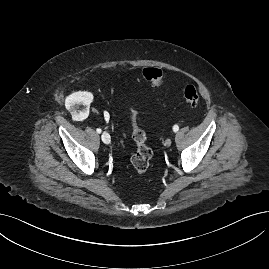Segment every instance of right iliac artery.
Returning a JSON list of instances; mask_svg holds the SVG:
<instances>
[{"label":"right iliac artery","instance_id":"right-iliac-artery-1","mask_svg":"<svg viewBox=\"0 0 269 269\" xmlns=\"http://www.w3.org/2000/svg\"><path fill=\"white\" fill-rule=\"evenodd\" d=\"M96 132L100 134V133L102 132V130H101L100 128H98V129L96 130Z\"/></svg>","mask_w":269,"mask_h":269}]
</instances>
